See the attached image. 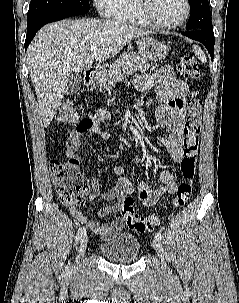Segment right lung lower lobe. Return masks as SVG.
<instances>
[{"mask_svg":"<svg viewBox=\"0 0 239 303\" xmlns=\"http://www.w3.org/2000/svg\"><path fill=\"white\" fill-rule=\"evenodd\" d=\"M89 10H70V11H50L42 15L36 16L27 20V35L25 40V50L34 38L36 32L45 24L61 20L70 16L81 15L87 13Z\"/></svg>","mask_w":239,"mask_h":303,"instance_id":"obj_1","label":"right lung lower lobe"}]
</instances>
